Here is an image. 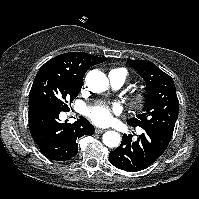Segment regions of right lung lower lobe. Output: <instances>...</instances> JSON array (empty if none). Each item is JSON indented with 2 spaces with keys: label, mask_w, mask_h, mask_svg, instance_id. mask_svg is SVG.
Instances as JSON below:
<instances>
[{
  "label": "right lung lower lobe",
  "mask_w": 199,
  "mask_h": 199,
  "mask_svg": "<svg viewBox=\"0 0 199 199\" xmlns=\"http://www.w3.org/2000/svg\"><path fill=\"white\" fill-rule=\"evenodd\" d=\"M62 110L49 101L29 104V129L41 153L51 160L64 161L78 153L77 140L93 135L94 127L83 117L73 124L61 123Z\"/></svg>",
  "instance_id": "1"
}]
</instances>
